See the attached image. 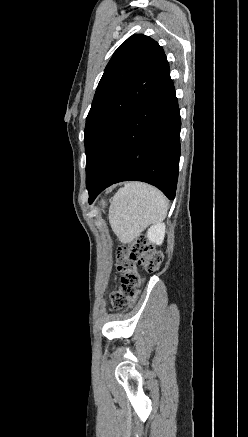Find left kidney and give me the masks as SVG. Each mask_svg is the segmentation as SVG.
<instances>
[{"label":"left kidney","instance_id":"left-kidney-1","mask_svg":"<svg viewBox=\"0 0 248 437\" xmlns=\"http://www.w3.org/2000/svg\"><path fill=\"white\" fill-rule=\"evenodd\" d=\"M165 224L158 222L152 225L147 231V238L150 242L161 245L165 237Z\"/></svg>","mask_w":248,"mask_h":437}]
</instances>
